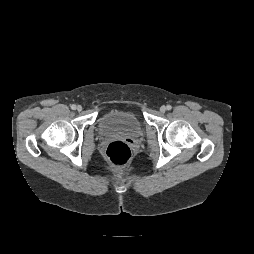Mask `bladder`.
Segmentation results:
<instances>
[{"label": "bladder", "mask_w": 254, "mask_h": 254, "mask_svg": "<svg viewBox=\"0 0 254 254\" xmlns=\"http://www.w3.org/2000/svg\"><path fill=\"white\" fill-rule=\"evenodd\" d=\"M98 130L104 137L124 136L137 139L143 134V125L136 113L130 110L112 109L99 117Z\"/></svg>", "instance_id": "31cf9c89"}]
</instances>
